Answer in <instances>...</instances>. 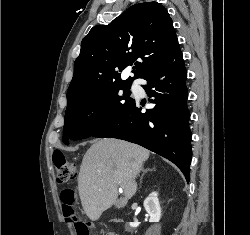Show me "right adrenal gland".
<instances>
[{
  "instance_id": "2a0ac1e0",
  "label": "right adrenal gland",
  "mask_w": 250,
  "mask_h": 235,
  "mask_svg": "<svg viewBox=\"0 0 250 235\" xmlns=\"http://www.w3.org/2000/svg\"><path fill=\"white\" fill-rule=\"evenodd\" d=\"M153 169H151V168H146V169H142V175H141V177H140V184L142 183V179H143V177H144V175H145V173H147L148 171H152Z\"/></svg>"
}]
</instances>
